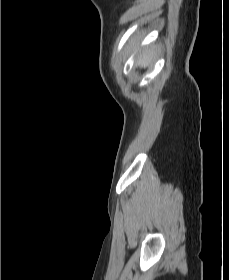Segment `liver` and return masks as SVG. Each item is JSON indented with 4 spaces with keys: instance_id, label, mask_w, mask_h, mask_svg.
Returning <instances> with one entry per match:
<instances>
[{
    "instance_id": "6515ba94",
    "label": "liver",
    "mask_w": 229,
    "mask_h": 280,
    "mask_svg": "<svg viewBox=\"0 0 229 280\" xmlns=\"http://www.w3.org/2000/svg\"><path fill=\"white\" fill-rule=\"evenodd\" d=\"M148 54H149L148 52H145V53L143 54V56H141V57L138 59L137 64H138L139 66H147V65H148V63H149V55H148Z\"/></svg>"
}]
</instances>
